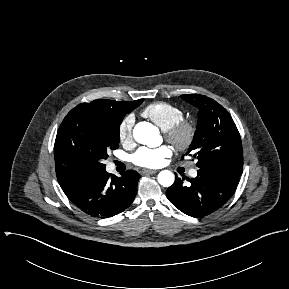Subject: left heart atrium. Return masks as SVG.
Returning a JSON list of instances; mask_svg holds the SVG:
<instances>
[{
    "instance_id": "obj_1",
    "label": "left heart atrium",
    "mask_w": 289,
    "mask_h": 289,
    "mask_svg": "<svg viewBox=\"0 0 289 289\" xmlns=\"http://www.w3.org/2000/svg\"><path fill=\"white\" fill-rule=\"evenodd\" d=\"M171 154V148L165 145L157 148L142 147L132 155L131 161L140 167L157 168L160 167Z\"/></svg>"
}]
</instances>
